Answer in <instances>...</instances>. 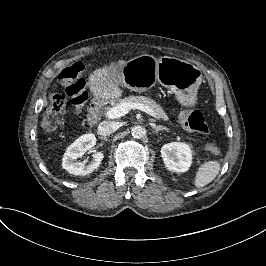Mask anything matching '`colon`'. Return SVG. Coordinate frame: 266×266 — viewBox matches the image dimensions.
<instances>
[{"label": "colon", "mask_w": 266, "mask_h": 266, "mask_svg": "<svg viewBox=\"0 0 266 266\" xmlns=\"http://www.w3.org/2000/svg\"><path fill=\"white\" fill-rule=\"evenodd\" d=\"M85 63L82 60H75L73 63L64 68L59 76L58 82L62 85L63 91L51 96L49 108L42 120V129L46 134L55 132L67 110V103L71 102L74 106H79L85 99L83 87L85 84L83 72ZM183 125L189 130H195L202 135L209 134L208 125L205 122L204 115L201 111L195 110L184 118ZM206 148L213 154L220 152L217 144H207Z\"/></svg>", "instance_id": "obj_1"}]
</instances>
